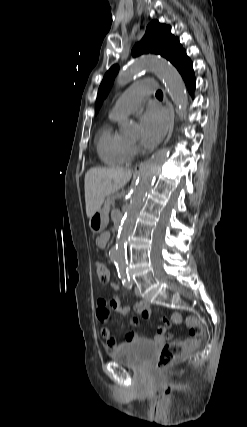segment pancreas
Masks as SVG:
<instances>
[{"mask_svg": "<svg viewBox=\"0 0 247 427\" xmlns=\"http://www.w3.org/2000/svg\"><path fill=\"white\" fill-rule=\"evenodd\" d=\"M113 202H114V199H113L111 196H108V197L106 198V200H105L103 210H104L105 212H109V211H110L111 206H113Z\"/></svg>", "mask_w": 247, "mask_h": 427, "instance_id": "cf45deb5", "label": "pancreas"}]
</instances>
